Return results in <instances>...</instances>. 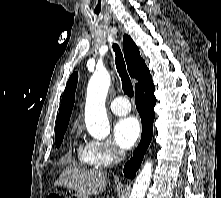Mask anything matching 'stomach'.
<instances>
[{"label":"stomach","instance_id":"0dacf381","mask_svg":"<svg viewBox=\"0 0 221 198\" xmlns=\"http://www.w3.org/2000/svg\"><path fill=\"white\" fill-rule=\"evenodd\" d=\"M70 198H89V196L87 194H83V193H75Z\"/></svg>","mask_w":221,"mask_h":198}]
</instances>
